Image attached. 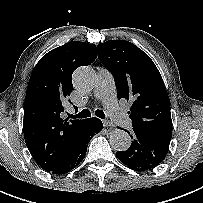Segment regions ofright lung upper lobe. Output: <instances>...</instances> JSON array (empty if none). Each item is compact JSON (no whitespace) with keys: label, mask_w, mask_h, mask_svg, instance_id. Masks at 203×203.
<instances>
[{"label":"right lung upper lobe","mask_w":203,"mask_h":203,"mask_svg":"<svg viewBox=\"0 0 203 203\" xmlns=\"http://www.w3.org/2000/svg\"><path fill=\"white\" fill-rule=\"evenodd\" d=\"M96 57L94 44L69 42L45 54L31 74L24 104V138L32 157L46 171L61 162L85 122L63 120V104L73 89L74 70Z\"/></svg>","instance_id":"obj_1"}]
</instances>
